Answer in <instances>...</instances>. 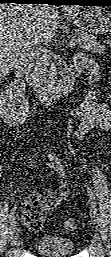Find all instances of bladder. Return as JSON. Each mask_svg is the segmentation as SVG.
Instances as JSON below:
<instances>
[{
  "instance_id": "1",
  "label": "bladder",
  "mask_w": 111,
  "mask_h": 257,
  "mask_svg": "<svg viewBox=\"0 0 111 257\" xmlns=\"http://www.w3.org/2000/svg\"><path fill=\"white\" fill-rule=\"evenodd\" d=\"M75 249L73 240L64 237L44 236L37 244L39 254L49 257H60L71 254Z\"/></svg>"
}]
</instances>
